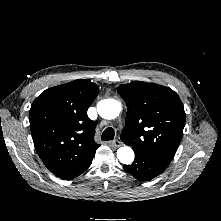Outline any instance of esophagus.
Listing matches in <instances>:
<instances>
[{"mask_svg": "<svg viewBox=\"0 0 221 221\" xmlns=\"http://www.w3.org/2000/svg\"><path fill=\"white\" fill-rule=\"evenodd\" d=\"M110 145L114 146L115 148H118V147L122 146V142L119 140H114V141L110 142Z\"/></svg>", "mask_w": 221, "mask_h": 221, "instance_id": "esophagus-1", "label": "esophagus"}]
</instances>
